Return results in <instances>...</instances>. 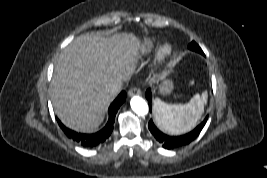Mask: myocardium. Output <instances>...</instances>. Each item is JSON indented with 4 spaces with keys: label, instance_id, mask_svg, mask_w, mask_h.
Segmentation results:
<instances>
[{
    "label": "myocardium",
    "instance_id": "f54148a6",
    "mask_svg": "<svg viewBox=\"0 0 267 178\" xmlns=\"http://www.w3.org/2000/svg\"><path fill=\"white\" fill-rule=\"evenodd\" d=\"M174 54V47L170 43H163L156 53V64L160 65Z\"/></svg>",
    "mask_w": 267,
    "mask_h": 178
}]
</instances>
